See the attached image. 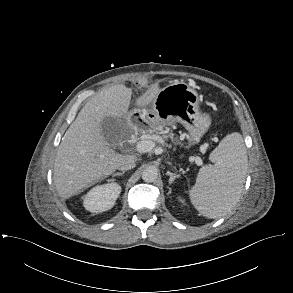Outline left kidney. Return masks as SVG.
I'll use <instances>...</instances> for the list:
<instances>
[{
	"label": "left kidney",
	"instance_id": "1",
	"mask_svg": "<svg viewBox=\"0 0 293 293\" xmlns=\"http://www.w3.org/2000/svg\"><path fill=\"white\" fill-rule=\"evenodd\" d=\"M179 201L182 202V203H184V200L182 198H180V197H179Z\"/></svg>",
	"mask_w": 293,
	"mask_h": 293
}]
</instances>
